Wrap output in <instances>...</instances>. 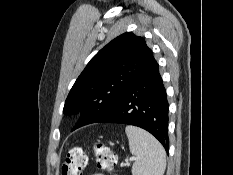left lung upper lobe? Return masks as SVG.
Here are the masks:
<instances>
[{
    "label": "left lung upper lobe",
    "mask_w": 233,
    "mask_h": 175,
    "mask_svg": "<svg viewBox=\"0 0 233 175\" xmlns=\"http://www.w3.org/2000/svg\"><path fill=\"white\" fill-rule=\"evenodd\" d=\"M153 59L145 40L132 32L103 47L87 64L65 101L64 113L82 115L74 129L104 116Z\"/></svg>",
    "instance_id": "obj_1"
}]
</instances>
